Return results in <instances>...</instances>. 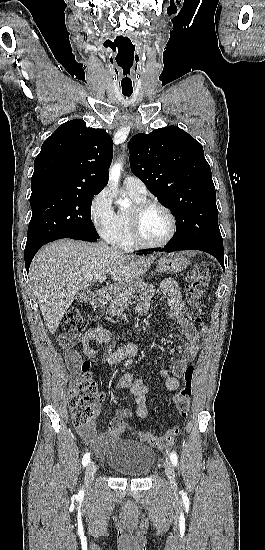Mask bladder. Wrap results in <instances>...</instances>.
<instances>
[{"label": "bladder", "mask_w": 265, "mask_h": 550, "mask_svg": "<svg viewBox=\"0 0 265 550\" xmlns=\"http://www.w3.org/2000/svg\"><path fill=\"white\" fill-rule=\"evenodd\" d=\"M108 466L117 474L145 477L153 468L157 453L150 446L134 440H113L105 452Z\"/></svg>", "instance_id": "obj_1"}]
</instances>
